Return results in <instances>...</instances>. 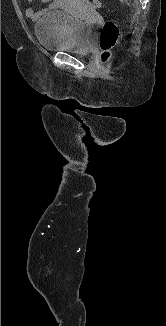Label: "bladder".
Instances as JSON below:
<instances>
[{
	"label": "bladder",
	"instance_id": "1",
	"mask_svg": "<svg viewBox=\"0 0 166 326\" xmlns=\"http://www.w3.org/2000/svg\"><path fill=\"white\" fill-rule=\"evenodd\" d=\"M84 3L81 9L97 14L93 7ZM35 35L42 48L48 51L73 52L88 55L91 50V29L82 20L64 11H47L35 23Z\"/></svg>",
	"mask_w": 166,
	"mask_h": 326
}]
</instances>
